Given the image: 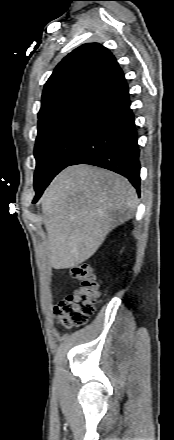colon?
<instances>
[{
    "instance_id": "obj_1",
    "label": "colon",
    "mask_w": 174,
    "mask_h": 440,
    "mask_svg": "<svg viewBox=\"0 0 174 440\" xmlns=\"http://www.w3.org/2000/svg\"><path fill=\"white\" fill-rule=\"evenodd\" d=\"M69 271L79 281V286L55 306V313L59 323L64 327L78 328L87 323L89 315L93 312L102 283L89 264L72 265Z\"/></svg>"
}]
</instances>
